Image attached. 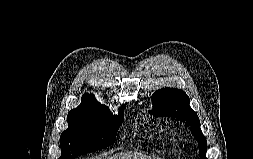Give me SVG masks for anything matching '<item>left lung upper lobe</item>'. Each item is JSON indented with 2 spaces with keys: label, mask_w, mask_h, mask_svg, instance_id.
Segmentation results:
<instances>
[{
  "label": "left lung upper lobe",
  "mask_w": 253,
  "mask_h": 159,
  "mask_svg": "<svg viewBox=\"0 0 253 159\" xmlns=\"http://www.w3.org/2000/svg\"><path fill=\"white\" fill-rule=\"evenodd\" d=\"M153 110L148 111L155 117H171L190 126L194 138L198 142L201 159L206 158L207 141L200 129L197 113L189 106L190 99L185 92L174 88H163L152 95Z\"/></svg>",
  "instance_id": "obj_1"
}]
</instances>
